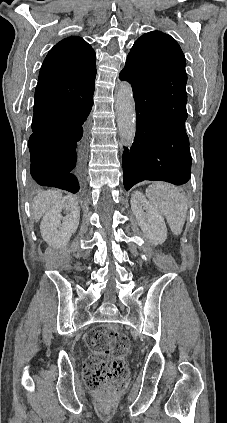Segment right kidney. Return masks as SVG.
Returning <instances> with one entry per match:
<instances>
[{
	"label": "right kidney",
	"instance_id": "1",
	"mask_svg": "<svg viewBox=\"0 0 227 423\" xmlns=\"http://www.w3.org/2000/svg\"><path fill=\"white\" fill-rule=\"evenodd\" d=\"M61 211H68V213L63 217ZM79 219L80 208L77 200L73 196H64L42 217L40 231L44 241L57 249L67 245L79 225Z\"/></svg>",
	"mask_w": 227,
	"mask_h": 423
}]
</instances>
